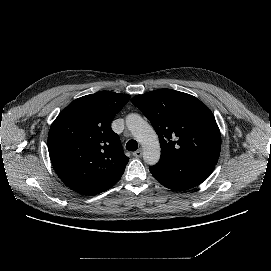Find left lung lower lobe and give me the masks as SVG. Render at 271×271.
Masks as SVG:
<instances>
[{"label": "left lung lower lobe", "mask_w": 271, "mask_h": 271, "mask_svg": "<svg viewBox=\"0 0 271 271\" xmlns=\"http://www.w3.org/2000/svg\"><path fill=\"white\" fill-rule=\"evenodd\" d=\"M214 163L161 154L160 161L150 172L163 186L185 191L205 181L215 168Z\"/></svg>", "instance_id": "1"}]
</instances>
